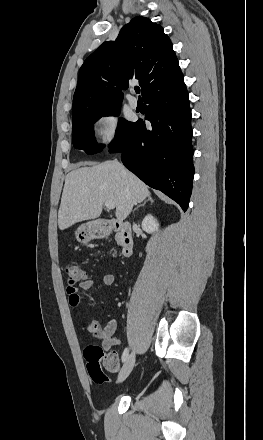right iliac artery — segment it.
Here are the masks:
<instances>
[{"label":"right iliac artery","mask_w":263,"mask_h":440,"mask_svg":"<svg viewBox=\"0 0 263 440\" xmlns=\"http://www.w3.org/2000/svg\"><path fill=\"white\" fill-rule=\"evenodd\" d=\"M128 353H129L128 348H125V350L123 351V354H122V362H124L127 359Z\"/></svg>","instance_id":"obj_1"}]
</instances>
